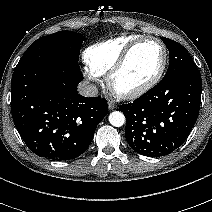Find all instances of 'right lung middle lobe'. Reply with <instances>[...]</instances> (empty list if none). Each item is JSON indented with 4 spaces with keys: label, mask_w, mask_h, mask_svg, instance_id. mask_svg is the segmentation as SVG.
<instances>
[{
    "label": "right lung middle lobe",
    "mask_w": 212,
    "mask_h": 212,
    "mask_svg": "<svg viewBox=\"0 0 212 212\" xmlns=\"http://www.w3.org/2000/svg\"><path fill=\"white\" fill-rule=\"evenodd\" d=\"M84 40L83 35L72 31L43 36L29 46L15 69L42 60L63 61L79 66L80 46Z\"/></svg>",
    "instance_id": "1"
}]
</instances>
